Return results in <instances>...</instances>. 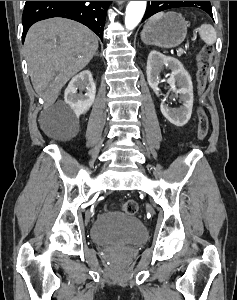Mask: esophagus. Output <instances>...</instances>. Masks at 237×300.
I'll list each match as a JSON object with an SVG mask.
<instances>
[{
  "instance_id": "obj_1",
  "label": "esophagus",
  "mask_w": 237,
  "mask_h": 300,
  "mask_svg": "<svg viewBox=\"0 0 237 300\" xmlns=\"http://www.w3.org/2000/svg\"><path fill=\"white\" fill-rule=\"evenodd\" d=\"M117 3H123V2H125V1H116Z\"/></svg>"
}]
</instances>
